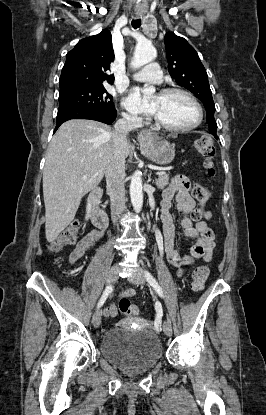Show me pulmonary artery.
<instances>
[{
    "mask_svg": "<svg viewBox=\"0 0 266 415\" xmlns=\"http://www.w3.org/2000/svg\"><path fill=\"white\" fill-rule=\"evenodd\" d=\"M132 77L135 80L150 83H159L162 80L160 67L157 63H150L146 65L143 69L134 73Z\"/></svg>",
    "mask_w": 266,
    "mask_h": 415,
    "instance_id": "obj_1",
    "label": "pulmonary artery"
}]
</instances>
